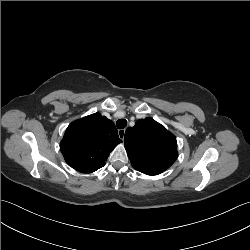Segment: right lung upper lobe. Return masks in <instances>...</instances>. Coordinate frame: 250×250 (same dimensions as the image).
I'll return each mask as SVG.
<instances>
[{
    "mask_svg": "<svg viewBox=\"0 0 250 250\" xmlns=\"http://www.w3.org/2000/svg\"><path fill=\"white\" fill-rule=\"evenodd\" d=\"M121 142L114 123L94 113L67 127L60 148L72 168L92 173L105 165L110 152Z\"/></svg>",
    "mask_w": 250,
    "mask_h": 250,
    "instance_id": "right-lung-upper-lobe-1",
    "label": "right lung upper lobe"
}]
</instances>
